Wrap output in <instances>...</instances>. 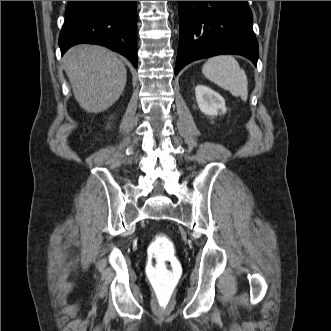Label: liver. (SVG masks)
<instances>
[{"label":"liver","mask_w":331,"mask_h":331,"mask_svg":"<svg viewBox=\"0 0 331 331\" xmlns=\"http://www.w3.org/2000/svg\"><path fill=\"white\" fill-rule=\"evenodd\" d=\"M76 101L89 113H100L121 96L127 71L116 54L102 46L81 44L63 57Z\"/></svg>","instance_id":"liver-1"}]
</instances>
